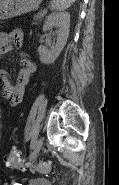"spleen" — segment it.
<instances>
[{
  "mask_svg": "<svg viewBox=\"0 0 119 185\" xmlns=\"http://www.w3.org/2000/svg\"><path fill=\"white\" fill-rule=\"evenodd\" d=\"M76 0H52L51 9L55 11H64L69 8Z\"/></svg>",
  "mask_w": 119,
  "mask_h": 185,
  "instance_id": "1",
  "label": "spleen"
}]
</instances>
